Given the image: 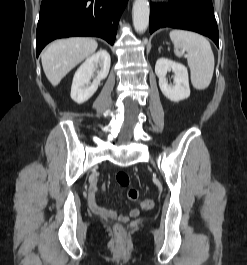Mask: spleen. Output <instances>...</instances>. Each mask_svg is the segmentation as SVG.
Wrapping results in <instances>:
<instances>
[{
	"instance_id": "obj_1",
	"label": "spleen",
	"mask_w": 247,
	"mask_h": 265,
	"mask_svg": "<svg viewBox=\"0 0 247 265\" xmlns=\"http://www.w3.org/2000/svg\"><path fill=\"white\" fill-rule=\"evenodd\" d=\"M170 38L177 57H181L183 52L187 53L193 87L205 90L214 72V55L209 41L202 35L184 30H172Z\"/></svg>"
}]
</instances>
